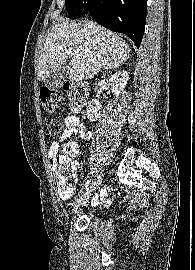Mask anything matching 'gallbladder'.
Wrapping results in <instances>:
<instances>
[{
    "instance_id": "obj_1",
    "label": "gallbladder",
    "mask_w": 195,
    "mask_h": 270,
    "mask_svg": "<svg viewBox=\"0 0 195 270\" xmlns=\"http://www.w3.org/2000/svg\"><path fill=\"white\" fill-rule=\"evenodd\" d=\"M67 63L60 65L48 78L44 80L45 86L51 91L62 87L66 81Z\"/></svg>"
}]
</instances>
